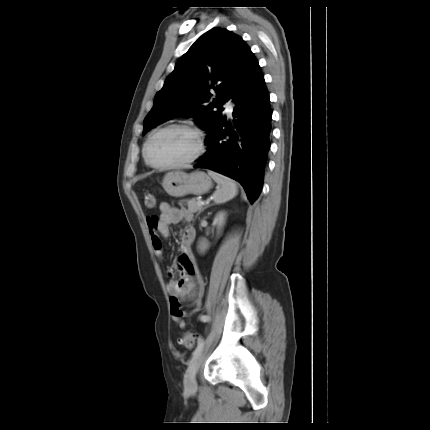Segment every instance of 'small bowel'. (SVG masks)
Returning <instances> with one entry per match:
<instances>
[{"label": "small bowel", "mask_w": 430, "mask_h": 430, "mask_svg": "<svg viewBox=\"0 0 430 430\" xmlns=\"http://www.w3.org/2000/svg\"><path fill=\"white\" fill-rule=\"evenodd\" d=\"M160 215L147 219L148 230L154 254L162 258L163 249L160 236L169 235L170 225L181 221H191L192 213L185 208L173 207L163 202L160 204ZM195 239V230L191 226L183 229L180 236V254L171 265V273H178V279L168 282L167 288L171 295L172 321L179 330L186 328L184 317L192 316L198 312L204 294V280L198 268L197 260L192 252L191 245ZM186 303L195 306L190 313L183 311L181 304Z\"/></svg>", "instance_id": "obj_1"}]
</instances>
